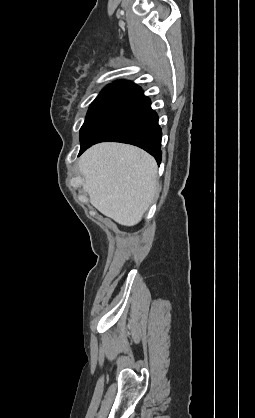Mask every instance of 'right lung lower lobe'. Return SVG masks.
<instances>
[{
    "instance_id": "98d812e1",
    "label": "right lung lower lobe",
    "mask_w": 255,
    "mask_h": 418,
    "mask_svg": "<svg viewBox=\"0 0 255 418\" xmlns=\"http://www.w3.org/2000/svg\"><path fill=\"white\" fill-rule=\"evenodd\" d=\"M150 99L133 85L115 95L95 115L81 137V155L93 144L105 141L138 146L161 162L162 132Z\"/></svg>"
}]
</instances>
